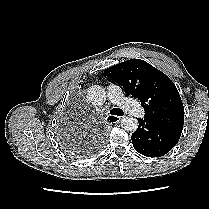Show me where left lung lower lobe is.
<instances>
[{"instance_id": "left-lung-lower-lobe-1", "label": "left lung lower lobe", "mask_w": 209, "mask_h": 209, "mask_svg": "<svg viewBox=\"0 0 209 209\" xmlns=\"http://www.w3.org/2000/svg\"><path fill=\"white\" fill-rule=\"evenodd\" d=\"M139 126L131 140L137 152L147 157H161L179 141L182 131L162 127L148 119H138Z\"/></svg>"}]
</instances>
